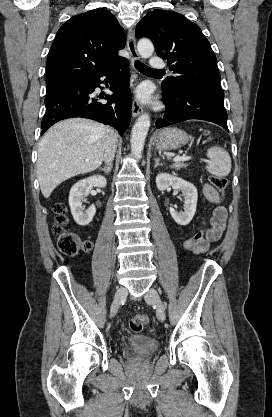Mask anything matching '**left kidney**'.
Masks as SVG:
<instances>
[{
    "mask_svg": "<svg viewBox=\"0 0 272 417\" xmlns=\"http://www.w3.org/2000/svg\"><path fill=\"white\" fill-rule=\"evenodd\" d=\"M156 185L158 190L164 191L172 187L176 191H181L184 197V211L178 212L173 207H170V214L175 222L179 225H188L193 219L198 200V193L196 187L182 178H179L168 173H160L156 177Z\"/></svg>",
    "mask_w": 272,
    "mask_h": 417,
    "instance_id": "5707ae66",
    "label": "left kidney"
}]
</instances>
